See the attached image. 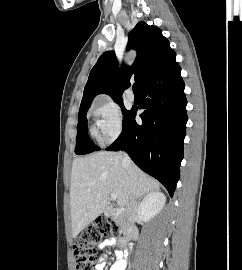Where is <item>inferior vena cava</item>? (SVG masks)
<instances>
[{
  "instance_id": "obj_1",
  "label": "inferior vena cava",
  "mask_w": 242,
  "mask_h": 270,
  "mask_svg": "<svg viewBox=\"0 0 242 270\" xmlns=\"http://www.w3.org/2000/svg\"><path fill=\"white\" fill-rule=\"evenodd\" d=\"M122 164L128 170V173H130L132 162L127 154H124ZM137 208H138L137 201L135 198H132L129 204L127 205L126 209L127 210L126 215L130 222H134L136 220L137 218L136 214L138 212Z\"/></svg>"
}]
</instances>
